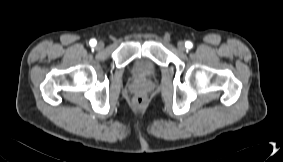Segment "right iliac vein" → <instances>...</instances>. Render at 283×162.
I'll use <instances>...</instances> for the list:
<instances>
[{
	"mask_svg": "<svg viewBox=\"0 0 283 162\" xmlns=\"http://www.w3.org/2000/svg\"><path fill=\"white\" fill-rule=\"evenodd\" d=\"M103 47H104V43L102 41L98 42L96 45V48L99 50L102 49Z\"/></svg>",
	"mask_w": 283,
	"mask_h": 162,
	"instance_id": "63e3f726",
	"label": "right iliac vein"
}]
</instances>
